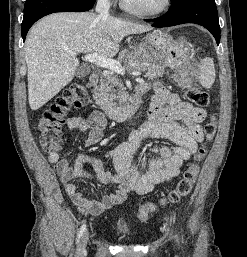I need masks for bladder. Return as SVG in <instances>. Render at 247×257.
Returning <instances> with one entry per match:
<instances>
[{
    "mask_svg": "<svg viewBox=\"0 0 247 257\" xmlns=\"http://www.w3.org/2000/svg\"><path fill=\"white\" fill-rule=\"evenodd\" d=\"M116 232H117V235L122 238H127L129 236V233L124 228H118Z\"/></svg>",
    "mask_w": 247,
    "mask_h": 257,
    "instance_id": "1",
    "label": "bladder"
}]
</instances>
